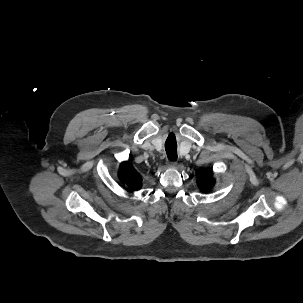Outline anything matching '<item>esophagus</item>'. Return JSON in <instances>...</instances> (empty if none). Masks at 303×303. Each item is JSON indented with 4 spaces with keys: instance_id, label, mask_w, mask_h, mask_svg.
<instances>
[{
    "instance_id": "obj_1",
    "label": "esophagus",
    "mask_w": 303,
    "mask_h": 303,
    "mask_svg": "<svg viewBox=\"0 0 303 303\" xmlns=\"http://www.w3.org/2000/svg\"><path fill=\"white\" fill-rule=\"evenodd\" d=\"M168 164H169L170 167H177V162H176V161H171V160H170V161L168 162Z\"/></svg>"
}]
</instances>
